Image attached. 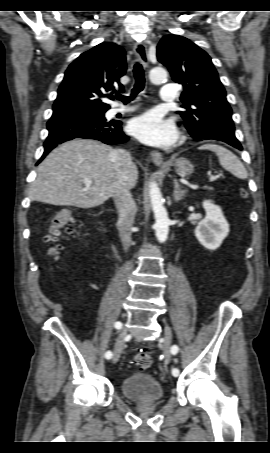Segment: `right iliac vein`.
I'll list each match as a JSON object with an SVG mask.
<instances>
[{"instance_id": "63e3f726", "label": "right iliac vein", "mask_w": 270, "mask_h": 453, "mask_svg": "<svg viewBox=\"0 0 270 453\" xmlns=\"http://www.w3.org/2000/svg\"><path fill=\"white\" fill-rule=\"evenodd\" d=\"M125 337H126V329H122L120 331L118 338L116 340V343H115V348H114V353H113V358H112L113 363H116L120 358V354L124 347Z\"/></svg>"}]
</instances>
